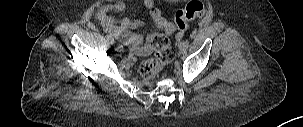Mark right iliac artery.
Listing matches in <instances>:
<instances>
[{"instance_id":"1","label":"right iliac artery","mask_w":303,"mask_h":127,"mask_svg":"<svg viewBox=\"0 0 303 127\" xmlns=\"http://www.w3.org/2000/svg\"><path fill=\"white\" fill-rule=\"evenodd\" d=\"M106 39H107V41L109 42V43H111V44H114V39H113V37H111L110 35H108V34H106Z\"/></svg>"}]
</instances>
